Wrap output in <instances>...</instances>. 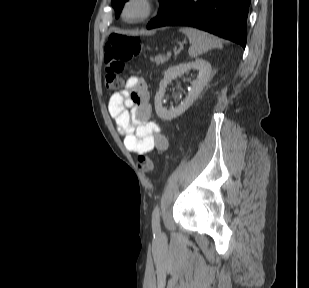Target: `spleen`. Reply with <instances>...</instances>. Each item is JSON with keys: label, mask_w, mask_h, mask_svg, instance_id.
<instances>
[{"label": "spleen", "mask_w": 309, "mask_h": 288, "mask_svg": "<svg viewBox=\"0 0 309 288\" xmlns=\"http://www.w3.org/2000/svg\"><path fill=\"white\" fill-rule=\"evenodd\" d=\"M180 31L184 33L190 41L191 46L188 51L190 57L195 58L210 49L222 47L221 41L207 32L191 27H183Z\"/></svg>", "instance_id": "3e777b00"}]
</instances>
